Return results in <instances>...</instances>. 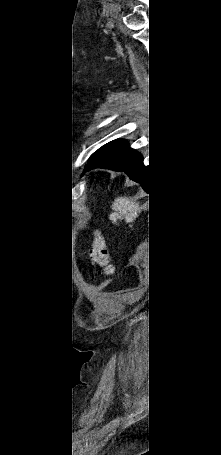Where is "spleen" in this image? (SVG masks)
I'll use <instances>...</instances> for the list:
<instances>
[{
  "label": "spleen",
  "mask_w": 221,
  "mask_h": 455,
  "mask_svg": "<svg viewBox=\"0 0 221 455\" xmlns=\"http://www.w3.org/2000/svg\"><path fill=\"white\" fill-rule=\"evenodd\" d=\"M112 210L113 212L109 215V219L114 224H117L118 220L133 222L138 217L141 206L139 202H135L129 197L121 196L114 200Z\"/></svg>",
  "instance_id": "3e777b00"
}]
</instances>
